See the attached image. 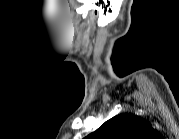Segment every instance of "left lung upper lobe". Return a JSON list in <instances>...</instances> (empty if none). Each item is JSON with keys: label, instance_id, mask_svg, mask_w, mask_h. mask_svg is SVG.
I'll use <instances>...</instances> for the list:
<instances>
[{"label": "left lung upper lobe", "instance_id": "left-lung-upper-lobe-1", "mask_svg": "<svg viewBox=\"0 0 179 139\" xmlns=\"http://www.w3.org/2000/svg\"><path fill=\"white\" fill-rule=\"evenodd\" d=\"M152 132L151 126L131 113L119 114L106 121L88 139H144Z\"/></svg>", "mask_w": 179, "mask_h": 139}]
</instances>
